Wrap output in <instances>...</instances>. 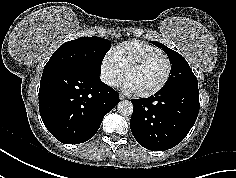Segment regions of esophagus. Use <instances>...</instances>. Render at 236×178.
Instances as JSON below:
<instances>
[{"instance_id":"1","label":"esophagus","mask_w":236,"mask_h":178,"mask_svg":"<svg viewBox=\"0 0 236 178\" xmlns=\"http://www.w3.org/2000/svg\"><path fill=\"white\" fill-rule=\"evenodd\" d=\"M119 99L123 100V99H125V96L123 94L119 93Z\"/></svg>"}]
</instances>
